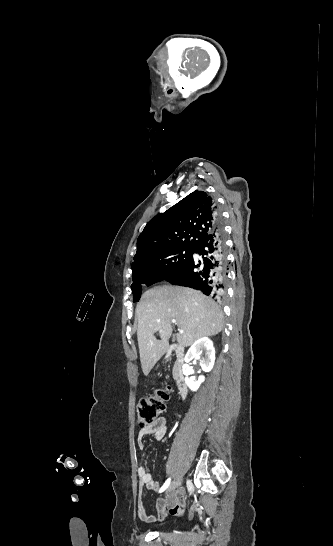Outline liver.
<instances>
[{
	"instance_id": "liver-1",
	"label": "liver",
	"mask_w": 333,
	"mask_h": 546,
	"mask_svg": "<svg viewBox=\"0 0 333 546\" xmlns=\"http://www.w3.org/2000/svg\"><path fill=\"white\" fill-rule=\"evenodd\" d=\"M136 317L141 366L146 376L169 347L173 319L184 331L176 335L183 347L202 337L217 335L224 320L223 312L211 298L200 291L172 285L147 290L136 306ZM156 332L161 340L154 336Z\"/></svg>"
}]
</instances>
